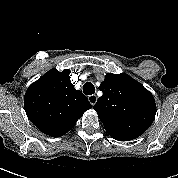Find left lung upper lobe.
<instances>
[{
  "mask_svg": "<svg viewBox=\"0 0 178 178\" xmlns=\"http://www.w3.org/2000/svg\"><path fill=\"white\" fill-rule=\"evenodd\" d=\"M99 90L103 95L93 108L112 138L135 139L152 124L156 114L153 95L127 74H106Z\"/></svg>",
  "mask_w": 178,
  "mask_h": 178,
  "instance_id": "1",
  "label": "left lung upper lobe"
}]
</instances>
